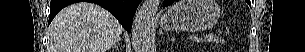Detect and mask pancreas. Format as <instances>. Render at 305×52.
Wrapping results in <instances>:
<instances>
[{"label": "pancreas", "mask_w": 305, "mask_h": 52, "mask_svg": "<svg viewBox=\"0 0 305 52\" xmlns=\"http://www.w3.org/2000/svg\"><path fill=\"white\" fill-rule=\"evenodd\" d=\"M203 41L207 42V43H213V42L221 43L222 39L219 36H216V35H213V34H209V35L204 36V40Z\"/></svg>", "instance_id": "1"}]
</instances>
